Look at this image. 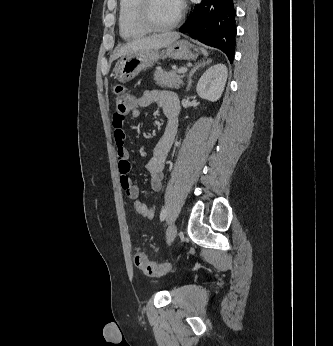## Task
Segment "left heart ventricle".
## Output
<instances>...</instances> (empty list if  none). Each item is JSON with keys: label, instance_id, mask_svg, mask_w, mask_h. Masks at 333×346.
Returning a JSON list of instances; mask_svg holds the SVG:
<instances>
[{"label": "left heart ventricle", "instance_id": "obj_1", "mask_svg": "<svg viewBox=\"0 0 333 346\" xmlns=\"http://www.w3.org/2000/svg\"><path fill=\"white\" fill-rule=\"evenodd\" d=\"M178 9L173 0H152L151 2V15L158 24L170 22Z\"/></svg>", "mask_w": 333, "mask_h": 346}]
</instances>
